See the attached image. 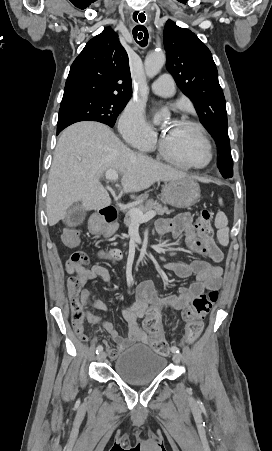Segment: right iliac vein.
Here are the masks:
<instances>
[{
    "mask_svg": "<svg viewBox=\"0 0 272 451\" xmlns=\"http://www.w3.org/2000/svg\"><path fill=\"white\" fill-rule=\"evenodd\" d=\"M105 358H106V353L104 351L100 352L97 356V360L100 362L104 361Z\"/></svg>",
    "mask_w": 272,
    "mask_h": 451,
    "instance_id": "63e3f726",
    "label": "right iliac vein"
}]
</instances>
